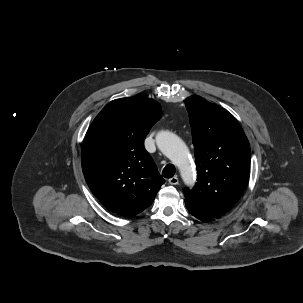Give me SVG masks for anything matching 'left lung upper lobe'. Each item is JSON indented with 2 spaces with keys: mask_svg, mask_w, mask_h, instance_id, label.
Segmentation results:
<instances>
[{
  "mask_svg": "<svg viewBox=\"0 0 303 303\" xmlns=\"http://www.w3.org/2000/svg\"><path fill=\"white\" fill-rule=\"evenodd\" d=\"M198 171L185 189L186 205L215 219L232 209L250 175V146L236 119L224 108L193 95L185 99Z\"/></svg>",
  "mask_w": 303,
  "mask_h": 303,
  "instance_id": "left-lung-upper-lobe-1",
  "label": "left lung upper lobe"
}]
</instances>
